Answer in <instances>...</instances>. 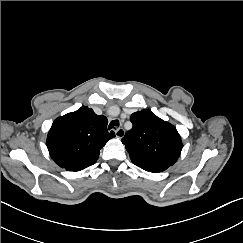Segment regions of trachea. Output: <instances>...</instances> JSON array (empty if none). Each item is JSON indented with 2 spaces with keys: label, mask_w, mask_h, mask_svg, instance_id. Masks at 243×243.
<instances>
[{
  "label": "trachea",
  "mask_w": 243,
  "mask_h": 243,
  "mask_svg": "<svg viewBox=\"0 0 243 243\" xmlns=\"http://www.w3.org/2000/svg\"><path fill=\"white\" fill-rule=\"evenodd\" d=\"M119 127V120H112L109 124V129Z\"/></svg>",
  "instance_id": "trachea-1"
}]
</instances>
